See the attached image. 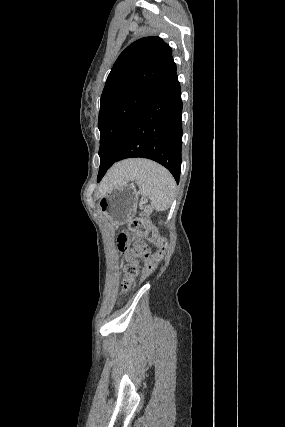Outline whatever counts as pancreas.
Returning a JSON list of instances; mask_svg holds the SVG:
<instances>
[{
  "mask_svg": "<svg viewBox=\"0 0 285 427\" xmlns=\"http://www.w3.org/2000/svg\"><path fill=\"white\" fill-rule=\"evenodd\" d=\"M151 212V209H150V207H146L145 209H144V214H149Z\"/></svg>",
  "mask_w": 285,
  "mask_h": 427,
  "instance_id": "obj_1",
  "label": "pancreas"
}]
</instances>
